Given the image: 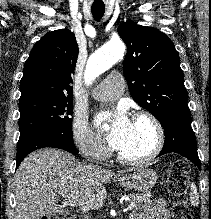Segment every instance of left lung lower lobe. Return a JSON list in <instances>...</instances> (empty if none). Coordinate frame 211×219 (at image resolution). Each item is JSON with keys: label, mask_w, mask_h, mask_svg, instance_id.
I'll return each mask as SVG.
<instances>
[{"label": "left lung lower lobe", "mask_w": 211, "mask_h": 219, "mask_svg": "<svg viewBox=\"0 0 211 219\" xmlns=\"http://www.w3.org/2000/svg\"><path fill=\"white\" fill-rule=\"evenodd\" d=\"M162 127L164 129L165 141L158 156L175 152L186 157L200 168L196 137L191 128L190 112L169 115L162 124Z\"/></svg>", "instance_id": "obj_1"}]
</instances>
